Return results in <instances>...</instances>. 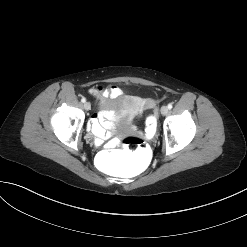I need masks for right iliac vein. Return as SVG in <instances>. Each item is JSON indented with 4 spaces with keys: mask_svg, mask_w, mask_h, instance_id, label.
<instances>
[{
    "mask_svg": "<svg viewBox=\"0 0 247 247\" xmlns=\"http://www.w3.org/2000/svg\"><path fill=\"white\" fill-rule=\"evenodd\" d=\"M84 108H85V110H90L91 109V104L89 103V102H85L84 103Z\"/></svg>",
    "mask_w": 247,
    "mask_h": 247,
    "instance_id": "1",
    "label": "right iliac vein"
}]
</instances>
